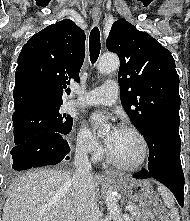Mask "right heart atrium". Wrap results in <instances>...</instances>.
I'll return each mask as SVG.
<instances>
[{
    "instance_id": "1",
    "label": "right heart atrium",
    "mask_w": 190,
    "mask_h": 221,
    "mask_svg": "<svg viewBox=\"0 0 190 221\" xmlns=\"http://www.w3.org/2000/svg\"><path fill=\"white\" fill-rule=\"evenodd\" d=\"M76 150L82 154L98 158L102 154L99 141L85 127H81L75 138Z\"/></svg>"
}]
</instances>
